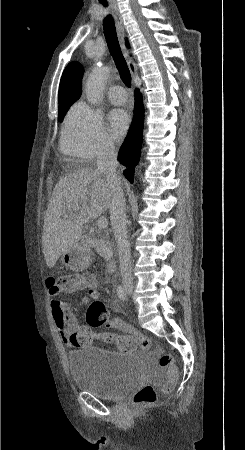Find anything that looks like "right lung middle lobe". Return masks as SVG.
I'll return each mask as SVG.
<instances>
[{
    "instance_id": "right-lung-middle-lobe-1",
    "label": "right lung middle lobe",
    "mask_w": 245,
    "mask_h": 450,
    "mask_svg": "<svg viewBox=\"0 0 245 450\" xmlns=\"http://www.w3.org/2000/svg\"><path fill=\"white\" fill-rule=\"evenodd\" d=\"M71 105H72V104H68V105H65V106L59 108V115H58V118H59L60 120H62L63 116L65 115V113L67 112L68 108H69Z\"/></svg>"
}]
</instances>
